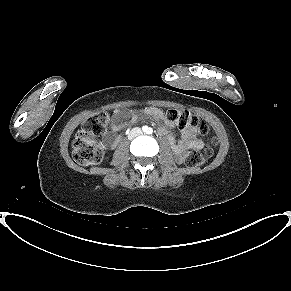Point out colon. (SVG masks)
I'll list each match as a JSON object with an SVG mask.
<instances>
[{
    "label": "colon",
    "mask_w": 291,
    "mask_h": 291,
    "mask_svg": "<svg viewBox=\"0 0 291 291\" xmlns=\"http://www.w3.org/2000/svg\"><path fill=\"white\" fill-rule=\"evenodd\" d=\"M166 119L178 128H194L203 135L208 133V128L191 112L180 109H169L164 113ZM109 115L105 112L97 113L90 117L78 131L72 149V156L79 165H95L102 160L103 151L97 144L96 138L107 131ZM217 144L216 137H209L203 152L190 149L185 156V165L189 168L201 166L209 157Z\"/></svg>",
    "instance_id": "5ec220e1"
}]
</instances>
